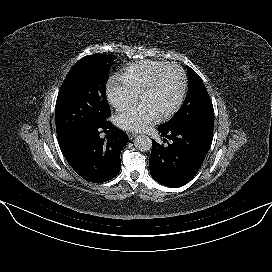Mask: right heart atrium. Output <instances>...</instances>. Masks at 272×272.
I'll return each mask as SVG.
<instances>
[{
	"label": "right heart atrium",
	"mask_w": 272,
	"mask_h": 272,
	"mask_svg": "<svg viewBox=\"0 0 272 272\" xmlns=\"http://www.w3.org/2000/svg\"><path fill=\"white\" fill-rule=\"evenodd\" d=\"M106 96L108 102L118 111L131 106L137 100V94L116 78L108 81Z\"/></svg>",
	"instance_id": "1"
}]
</instances>
